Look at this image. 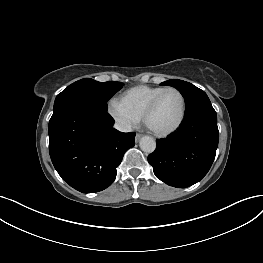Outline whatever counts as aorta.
I'll return each instance as SVG.
<instances>
[{
	"mask_svg": "<svg viewBox=\"0 0 263 263\" xmlns=\"http://www.w3.org/2000/svg\"><path fill=\"white\" fill-rule=\"evenodd\" d=\"M139 145L142 151L152 153L156 148V141L150 136H144L141 138Z\"/></svg>",
	"mask_w": 263,
	"mask_h": 263,
	"instance_id": "762f6f07",
	"label": "aorta"
}]
</instances>
